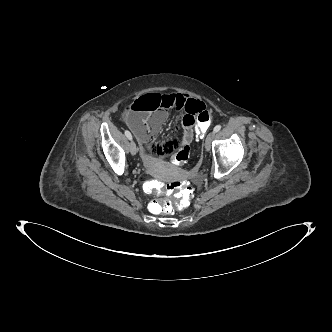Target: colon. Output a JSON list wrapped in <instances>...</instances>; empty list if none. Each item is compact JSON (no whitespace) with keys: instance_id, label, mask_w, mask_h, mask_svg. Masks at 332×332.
<instances>
[{"instance_id":"1","label":"colon","mask_w":332,"mask_h":332,"mask_svg":"<svg viewBox=\"0 0 332 332\" xmlns=\"http://www.w3.org/2000/svg\"><path fill=\"white\" fill-rule=\"evenodd\" d=\"M211 118L212 113L209 110H204L197 116L195 129L193 130V136L195 138L194 144L197 147H202L205 144L204 138L208 135ZM193 154V147L190 145H184L179 151L173 153L169 161L170 165L176 168L182 163H188ZM144 189L150 194H160L163 197H168L171 194H174V201H164L161 198H156L152 201L151 208L156 213H170L175 208L188 210L193 205V186L187 179H176L166 183L150 179L146 182Z\"/></svg>"}]
</instances>
